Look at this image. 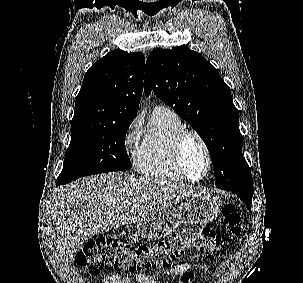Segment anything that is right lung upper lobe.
I'll list each match as a JSON object with an SVG mask.
<instances>
[{"label": "right lung upper lobe", "mask_w": 303, "mask_h": 283, "mask_svg": "<svg viewBox=\"0 0 303 283\" xmlns=\"http://www.w3.org/2000/svg\"><path fill=\"white\" fill-rule=\"evenodd\" d=\"M145 58L114 50L93 64L76 97L72 121L120 123L136 117L143 89Z\"/></svg>", "instance_id": "obj_1"}]
</instances>
